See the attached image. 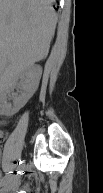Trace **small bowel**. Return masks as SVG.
Masks as SVG:
<instances>
[{
	"label": "small bowel",
	"mask_w": 103,
	"mask_h": 193,
	"mask_svg": "<svg viewBox=\"0 0 103 193\" xmlns=\"http://www.w3.org/2000/svg\"><path fill=\"white\" fill-rule=\"evenodd\" d=\"M6 176H7V175H6ZM6 176L3 177V178L1 179V181H0L1 187L4 186L5 183L8 181V182L6 183V185L4 186V188H5L6 190H8V189L12 190L11 188H12L13 186L9 185V182H10V180H11V179H10L11 174H10L9 179H7ZM14 177H17V176H13V177H12V181H13ZM13 182H16V181H13ZM10 190H9V191H10ZM12 191H13V190H12ZM29 191H30V186H28V190H25V191H23V192H22V191H21V192H17V193H28Z\"/></svg>",
	"instance_id": "1"
}]
</instances>
